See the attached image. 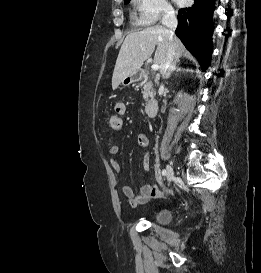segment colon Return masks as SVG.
Masks as SVG:
<instances>
[{
  "label": "colon",
  "mask_w": 261,
  "mask_h": 273,
  "mask_svg": "<svg viewBox=\"0 0 261 273\" xmlns=\"http://www.w3.org/2000/svg\"><path fill=\"white\" fill-rule=\"evenodd\" d=\"M108 126L113 130H119L122 127V119L118 114H113L108 119Z\"/></svg>",
  "instance_id": "obj_1"
}]
</instances>
